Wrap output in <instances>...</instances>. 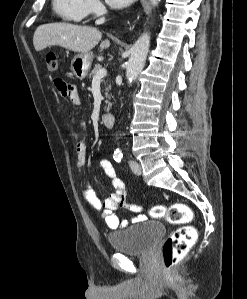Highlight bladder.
<instances>
[{
	"label": "bladder",
	"mask_w": 247,
	"mask_h": 299,
	"mask_svg": "<svg viewBox=\"0 0 247 299\" xmlns=\"http://www.w3.org/2000/svg\"><path fill=\"white\" fill-rule=\"evenodd\" d=\"M165 235V227L158 221H143L108 234L111 247L129 255H143L152 250Z\"/></svg>",
	"instance_id": "31cf9c89"
}]
</instances>
